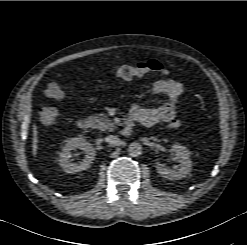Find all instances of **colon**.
<instances>
[{"mask_svg": "<svg viewBox=\"0 0 247 245\" xmlns=\"http://www.w3.org/2000/svg\"><path fill=\"white\" fill-rule=\"evenodd\" d=\"M113 75L120 79H132L150 73L167 74L164 67L156 60L142 61L134 65H121L112 71ZM45 94L48 98L59 100L64 97V91L58 83L52 82L48 85ZM58 118V110L54 107H43L39 110V119L45 125H51ZM182 122L174 119L170 122L172 128H180Z\"/></svg>", "mask_w": 247, "mask_h": 245, "instance_id": "colon-1", "label": "colon"}]
</instances>
